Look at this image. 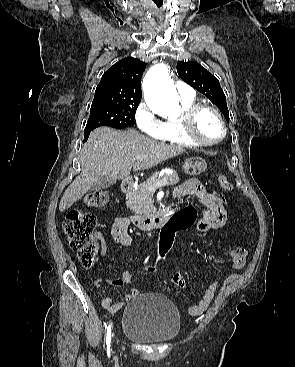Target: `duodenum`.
<instances>
[{
  "mask_svg": "<svg viewBox=\"0 0 295 367\" xmlns=\"http://www.w3.org/2000/svg\"><path fill=\"white\" fill-rule=\"evenodd\" d=\"M133 185L134 181L132 178H125L121 184L122 192H131ZM172 214L173 212L170 208H164L145 215H133L131 216V221L140 229L158 228L161 227V224H165L167 219H171Z\"/></svg>",
  "mask_w": 295,
  "mask_h": 367,
  "instance_id": "obj_1",
  "label": "duodenum"
}]
</instances>
